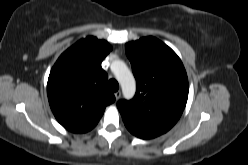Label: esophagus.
Wrapping results in <instances>:
<instances>
[{
  "instance_id": "esophagus-1",
  "label": "esophagus",
  "mask_w": 248,
  "mask_h": 165,
  "mask_svg": "<svg viewBox=\"0 0 248 165\" xmlns=\"http://www.w3.org/2000/svg\"><path fill=\"white\" fill-rule=\"evenodd\" d=\"M114 95H115L116 100H118L121 97V91L115 92Z\"/></svg>"
}]
</instances>
